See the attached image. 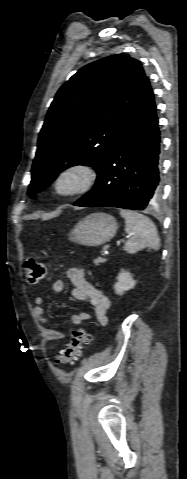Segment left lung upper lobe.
I'll list each match as a JSON object with an SVG mask.
<instances>
[{
  "instance_id": "left-lung-upper-lobe-1",
  "label": "left lung upper lobe",
  "mask_w": 187,
  "mask_h": 479,
  "mask_svg": "<svg viewBox=\"0 0 187 479\" xmlns=\"http://www.w3.org/2000/svg\"><path fill=\"white\" fill-rule=\"evenodd\" d=\"M145 77L139 61L116 54L81 68L59 89L39 135L28 195L70 166L101 168Z\"/></svg>"
}]
</instances>
